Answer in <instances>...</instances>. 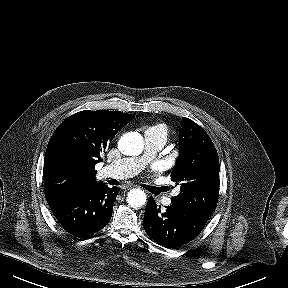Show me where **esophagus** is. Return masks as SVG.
<instances>
[{
	"instance_id": "esophagus-1",
	"label": "esophagus",
	"mask_w": 288,
	"mask_h": 288,
	"mask_svg": "<svg viewBox=\"0 0 288 288\" xmlns=\"http://www.w3.org/2000/svg\"><path fill=\"white\" fill-rule=\"evenodd\" d=\"M134 186H132V185H129V186H126L124 189H132Z\"/></svg>"
}]
</instances>
